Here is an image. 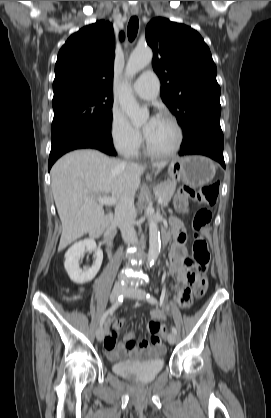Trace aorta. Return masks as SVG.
Instances as JSON below:
<instances>
[{"label":"aorta","instance_id":"obj_1","mask_svg":"<svg viewBox=\"0 0 271 418\" xmlns=\"http://www.w3.org/2000/svg\"><path fill=\"white\" fill-rule=\"evenodd\" d=\"M152 58L153 53L150 48L135 49L130 55L126 67L128 78L133 77L136 73L144 69L152 61ZM120 105L134 125H141L149 118V111L146 108H140L127 81L121 88ZM153 212L152 207H146L145 215L149 220L148 263L150 265L157 260L161 247L160 232L158 231L157 223L153 220Z\"/></svg>","mask_w":271,"mask_h":418}]
</instances>
